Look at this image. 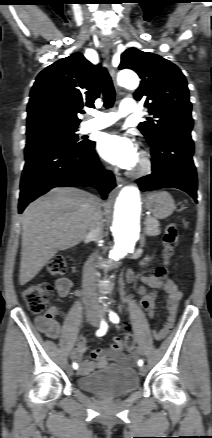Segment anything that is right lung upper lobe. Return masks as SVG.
I'll use <instances>...</instances> for the list:
<instances>
[{
  "instance_id": "cb5924a9",
  "label": "right lung upper lobe",
  "mask_w": 212,
  "mask_h": 438,
  "mask_svg": "<svg viewBox=\"0 0 212 438\" xmlns=\"http://www.w3.org/2000/svg\"><path fill=\"white\" fill-rule=\"evenodd\" d=\"M101 65L76 52L41 71L30 92L27 130L61 125L78 127V113L100 95Z\"/></svg>"
}]
</instances>
